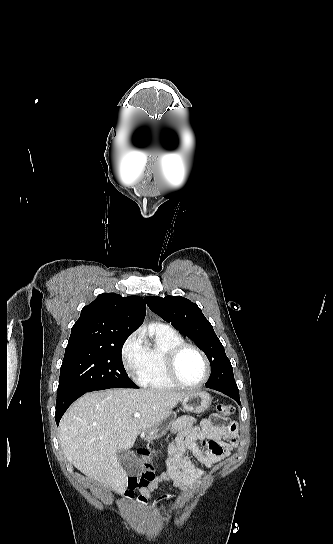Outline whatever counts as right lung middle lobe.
<instances>
[{
    "label": "right lung middle lobe",
    "mask_w": 333,
    "mask_h": 544,
    "mask_svg": "<svg viewBox=\"0 0 333 544\" xmlns=\"http://www.w3.org/2000/svg\"><path fill=\"white\" fill-rule=\"evenodd\" d=\"M120 336L105 346H83L65 350L58 389L139 388L128 377L122 363Z\"/></svg>",
    "instance_id": "dd1d6c3e"
}]
</instances>
